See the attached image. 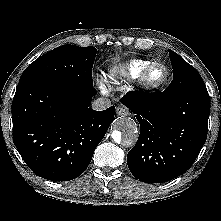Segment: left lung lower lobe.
Instances as JSON below:
<instances>
[{"label": "left lung lower lobe", "mask_w": 221, "mask_h": 221, "mask_svg": "<svg viewBox=\"0 0 221 221\" xmlns=\"http://www.w3.org/2000/svg\"><path fill=\"white\" fill-rule=\"evenodd\" d=\"M140 123L136 145L127 155L131 173L140 181L162 183L185 173L207 137L210 99L207 89L175 96L132 91L121 98Z\"/></svg>", "instance_id": "0a47b994"}]
</instances>
